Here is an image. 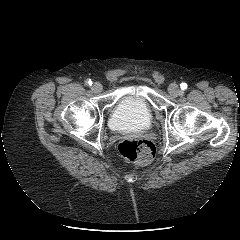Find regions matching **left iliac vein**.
Wrapping results in <instances>:
<instances>
[{"mask_svg": "<svg viewBox=\"0 0 240 240\" xmlns=\"http://www.w3.org/2000/svg\"><path fill=\"white\" fill-rule=\"evenodd\" d=\"M168 92L174 97H177L182 94V91L179 89V86L177 84H171L168 87Z\"/></svg>", "mask_w": 240, "mask_h": 240, "instance_id": "left-iliac-vein-1", "label": "left iliac vein"}]
</instances>
